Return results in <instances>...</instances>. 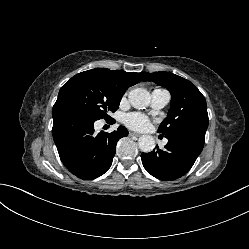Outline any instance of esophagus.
I'll return each mask as SVG.
<instances>
[{"mask_svg": "<svg viewBox=\"0 0 249 249\" xmlns=\"http://www.w3.org/2000/svg\"><path fill=\"white\" fill-rule=\"evenodd\" d=\"M129 136H136V137H139L140 134L135 133V132H129Z\"/></svg>", "mask_w": 249, "mask_h": 249, "instance_id": "obj_1", "label": "esophagus"}]
</instances>
